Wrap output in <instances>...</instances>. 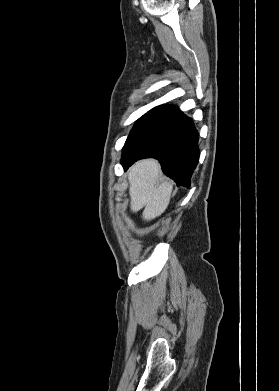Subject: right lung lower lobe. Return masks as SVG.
I'll use <instances>...</instances> for the list:
<instances>
[{"mask_svg":"<svg viewBox=\"0 0 279 391\" xmlns=\"http://www.w3.org/2000/svg\"><path fill=\"white\" fill-rule=\"evenodd\" d=\"M155 157L163 172L178 186H190L198 164V132L191 118L178 107L164 109L152 124L123 148L121 164L126 171L135 161Z\"/></svg>","mask_w":279,"mask_h":391,"instance_id":"right-lung-lower-lobe-1","label":"right lung lower lobe"}]
</instances>
